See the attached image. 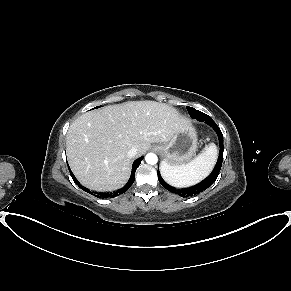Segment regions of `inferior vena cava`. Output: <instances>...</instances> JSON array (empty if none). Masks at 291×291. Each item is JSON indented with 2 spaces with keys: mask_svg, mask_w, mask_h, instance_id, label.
<instances>
[{
  "mask_svg": "<svg viewBox=\"0 0 291 291\" xmlns=\"http://www.w3.org/2000/svg\"><path fill=\"white\" fill-rule=\"evenodd\" d=\"M137 155V148L136 147H132L129 151H128V153H127V156L129 157V158H133V157H135Z\"/></svg>",
  "mask_w": 291,
  "mask_h": 291,
  "instance_id": "inferior-vena-cava-1",
  "label": "inferior vena cava"
}]
</instances>
